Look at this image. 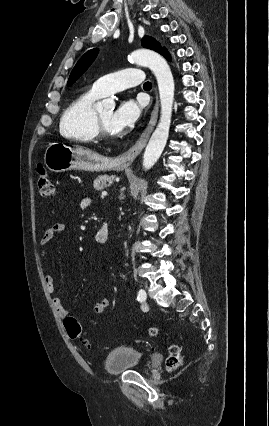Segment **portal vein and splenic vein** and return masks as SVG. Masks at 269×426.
<instances>
[{"label": "portal vein and splenic vein", "instance_id": "1", "mask_svg": "<svg viewBox=\"0 0 269 426\" xmlns=\"http://www.w3.org/2000/svg\"><path fill=\"white\" fill-rule=\"evenodd\" d=\"M101 196H102V197L107 196V192H106V191H103V192L101 193Z\"/></svg>", "mask_w": 269, "mask_h": 426}]
</instances>
